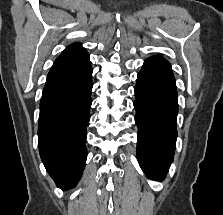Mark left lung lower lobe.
Returning a JSON list of instances; mask_svg holds the SVG:
<instances>
[{
	"label": "left lung lower lobe",
	"instance_id": "0a47b994",
	"mask_svg": "<svg viewBox=\"0 0 223 215\" xmlns=\"http://www.w3.org/2000/svg\"><path fill=\"white\" fill-rule=\"evenodd\" d=\"M137 159L146 175L161 181L173 161L178 97L168 61L146 59L135 86Z\"/></svg>",
	"mask_w": 223,
	"mask_h": 215
}]
</instances>
